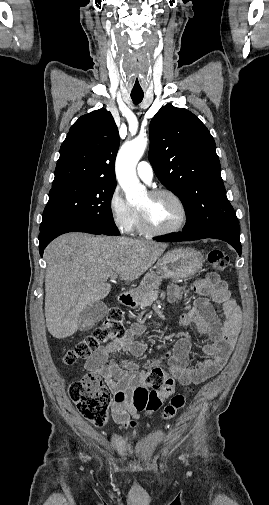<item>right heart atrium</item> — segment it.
<instances>
[{
    "instance_id": "right-heart-atrium-1",
    "label": "right heart atrium",
    "mask_w": 269,
    "mask_h": 505,
    "mask_svg": "<svg viewBox=\"0 0 269 505\" xmlns=\"http://www.w3.org/2000/svg\"><path fill=\"white\" fill-rule=\"evenodd\" d=\"M108 211L112 222L121 232L129 233L133 230L137 210L126 201L119 187H115L109 196Z\"/></svg>"
}]
</instances>
